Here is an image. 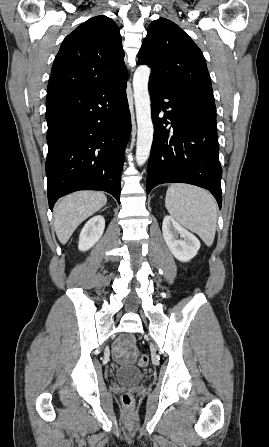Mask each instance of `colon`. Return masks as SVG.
Wrapping results in <instances>:
<instances>
[{"label":"colon","instance_id":"1","mask_svg":"<svg viewBox=\"0 0 269 447\" xmlns=\"http://www.w3.org/2000/svg\"><path fill=\"white\" fill-rule=\"evenodd\" d=\"M138 364L140 367H146L149 364V357L147 355H141L138 358ZM121 402L124 406H130L134 402V396L130 392H125L121 397Z\"/></svg>","mask_w":269,"mask_h":447}]
</instances>
